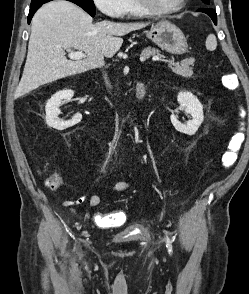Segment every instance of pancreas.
I'll return each mask as SVG.
<instances>
[{
	"mask_svg": "<svg viewBox=\"0 0 249 294\" xmlns=\"http://www.w3.org/2000/svg\"><path fill=\"white\" fill-rule=\"evenodd\" d=\"M150 55H159L160 57H163V55L160 54V52L154 48L147 47L145 48L141 56H150ZM166 63H168L169 68L177 75H180L182 77H190L193 75L192 66H194L195 59L194 58H187L182 60L180 63H174L172 60H165Z\"/></svg>",
	"mask_w": 249,
	"mask_h": 294,
	"instance_id": "pancreas-1",
	"label": "pancreas"
}]
</instances>
